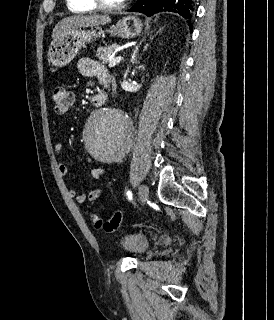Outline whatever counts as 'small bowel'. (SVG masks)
Wrapping results in <instances>:
<instances>
[{
  "label": "small bowel",
  "instance_id": "c3829d8e",
  "mask_svg": "<svg viewBox=\"0 0 274 320\" xmlns=\"http://www.w3.org/2000/svg\"><path fill=\"white\" fill-rule=\"evenodd\" d=\"M78 69L79 72L87 77H97L100 81V83L104 87H108L111 81L110 75L106 72L104 67L90 59V58H81L78 63ZM64 149V142L59 141L55 145V155L59 157L62 154V151ZM57 170L59 174L63 177H66L68 175V169L67 166L62 163L61 161L57 162ZM107 173V169L104 167H97L92 169L91 176L94 179H101L104 177V175ZM103 193L102 188H95L93 190L87 191V192H79L77 188L70 187L68 189V194L70 197L74 198L77 203H86V202H93L97 200Z\"/></svg>",
  "mask_w": 274,
  "mask_h": 320
}]
</instances>
